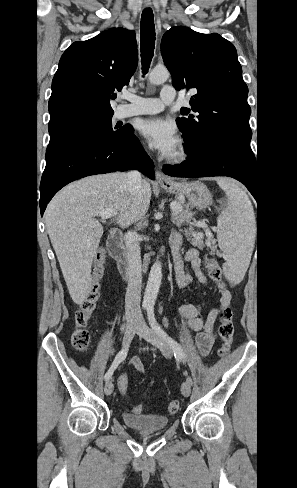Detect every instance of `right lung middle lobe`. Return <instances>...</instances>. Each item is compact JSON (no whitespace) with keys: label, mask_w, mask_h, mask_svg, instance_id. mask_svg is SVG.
I'll return each mask as SVG.
<instances>
[{"label":"right lung middle lobe","mask_w":297,"mask_h":488,"mask_svg":"<svg viewBox=\"0 0 297 488\" xmlns=\"http://www.w3.org/2000/svg\"><path fill=\"white\" fill-rule=\"evenodd\" d=\"M112 116L84 121L50 133V142L46 150V161L56 157L67 148L94 141H103L117 136H126L132 132L129 126L112 128ZM117 129V130H116Z\"/></svg>","instance_id":"dd1d6c3e"}]
</instances>
